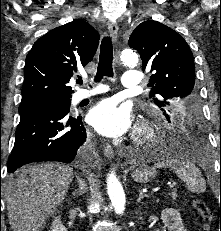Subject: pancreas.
Wrapping results in <instances>:
<instances>
[{"instance_id":"1","label":"pancreas","mask_w":221,"mask_h":231,"mask_svg":"<svg viewBox=\"0 0 221 231\" xmlns=\"http://www.w3.org/2000/svg\"><path fill=\"white\" fill-rule=\"evenodd\" d=\"M177 197V194L175 192L172 193V198L175 199Z\"/></svg>"}]
</instances>
